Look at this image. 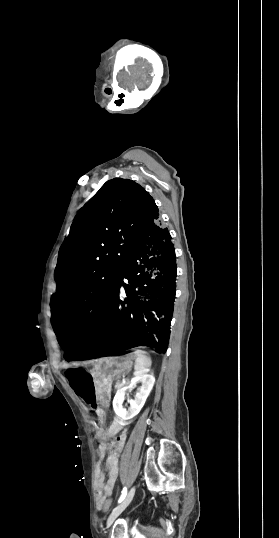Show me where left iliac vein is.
<instances>
[{
	"instance_id": "1",
	"label": "left iliac vein",
	"mask_w": 279,
	"mask_h": 538,
	"mask_svg": "<svg viewBox=\"0 0 279 538\" xmlns=\"http://www.w3.org/2000/svg\"><path fill=\"white\" fill-rule=\"evenodd\" d=\"M134 494H135V486H133L129 492L127 493V495L125 496V498L123 499V501L116 507L114 508V510L111 512L110 516L108 517V520H107V528H109L112 523L114 522V520L125 510V508L130 504V502L132 501L133 497H134Z\"/></svg>"
}]
</instances>
